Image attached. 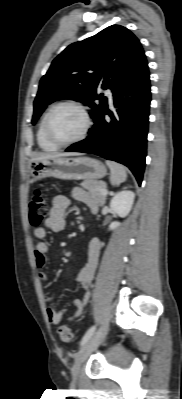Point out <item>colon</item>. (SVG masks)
Masks as SVG:
<instances>
[{
	"mask_svg": "<svg viewBox=\"0 0 182 399\" xmlns=\"http://www.w3.org/2000/svg\"><path fill=\"white\" fill-rule=\"evenodd\" d=\"M48 215V204L41 191L36 190L29 201V222L31 226L38 227ZM59 338L65 343H71L74 340L72 330L65 325L58 328Z\"/></svg>",
	"mask_w": 182,
	"mask_h": 399,
	"instance_id": "obj_1",
	"label": "colon"
}]
</instances>
